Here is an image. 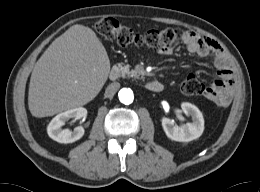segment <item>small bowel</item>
Wrapping results in <instances>:
<instances>
[{
  "label": "small bowel",
  "mask_w": 260,
  "mask_h": 192,
  "mask_svg": "<svg viewBox=\"0 0 260 192\" xmlns=\"http://www.w3.org/2000/svg\"><path fill=\"white\" fill-rule=\"evenodd\" d=\"M182 41L190 53L202 57L211 56L213 58L217 77L209 86L205 87L202 95L219 106L225 107L229 105L237 83L234 72L222 48L214 40L194 31H186ZM158 52L163 55H170L173 52V48H164Z\"/></svg>",
  "instance_id": "small-bowel-1"
}]
</instances>
